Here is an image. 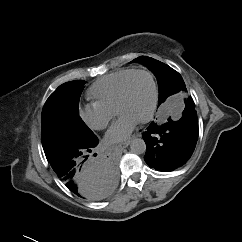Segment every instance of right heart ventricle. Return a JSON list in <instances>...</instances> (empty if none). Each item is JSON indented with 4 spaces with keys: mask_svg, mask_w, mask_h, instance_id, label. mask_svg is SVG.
Segmentation results:
<instances>
[{
    "mask_svg": "<svg viewBox=\"0 0 242 242\" xmlns=\"http://www.w3.org/2000/svg\"><path fill=\"white\" fill-rule=\"evenodd\" d=\"M135 69L126 68L103 76L88 89V96L95 103L116 111L120 87L125 78Z\"/></svg>",
    "mask_w": 242,
    "mask_h": 242,
    "instance_id": "obj_1",
    "label": "right heart ventricle"
}]
</instances>
